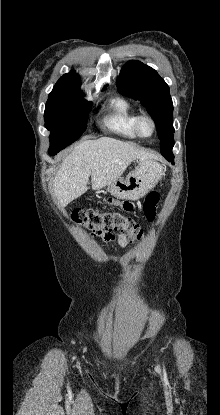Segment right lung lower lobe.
<instances>
[{"instance_id": "obj_1", "label": "right lung lower lobe", "mask_w": 220, "mask_h": 415, "mask_svg": "<svg viewBox=\"0 0 220 415\" xmlns=\"http://www.w3.org/2000/svg\"><path fill=\"white\" fill-rule=\"evenodd\" d=\"M49 154H50V155H55V154H56V152H55V151H50V150H49Z\"/></svg>"}]
</instances>
